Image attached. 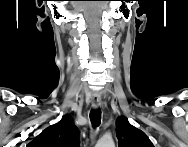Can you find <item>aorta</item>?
<instances>
[{
  "label": "aorta",
  "instance_id": "762f6f07",
  "mask_svg": "<svg viewBox=\"0 0 188 147\" xmlns=\"http://www.w3.org/2000/svg\"><path fill=\"white\" fill-rule=\"evenodd\" d=\"M98 147H114V142L112 139L109 138H103L101 139L98 144Z\"/></svg>",
  "mask_w": 188,
  "mask_h": 147
}]
</instances>
